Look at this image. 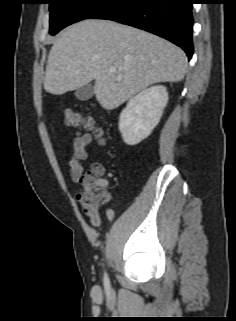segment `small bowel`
Here are the masks:
<instances>
[{"label": "small bowel", "mask_w": 236, "mask_h": 321, "mask_svg": "<svg viewBox=\"0 0 236 321\" xmlns=\"http://www.w3.org/2000/svg\"><path fill=\"white\" fill-rule=\"evenodd\" d=\"M92 142V135L90 133H77L72 138L71 157L68 163L70 178L74 183H79L83 178L84 167L83 162L88 158L86 147ZM101 183L105 188L108 187L109 182L106 179H101ZM77 201L81 204L83 212L89 217L90 223L94 227L102 225V216L98 207H93L78 196ZM106 216L111 220L114 213L111 209L106 210Z\"/></svg>", "instance_id": "c3829d8e"}]
</instances>
